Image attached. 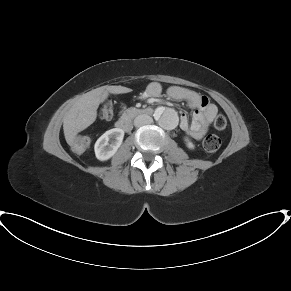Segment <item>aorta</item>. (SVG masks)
<instances>
[{"label":"aorta","mask_w":291,"mask_h":291,"mask_svg":"<svg viewBox=\"0 0 291 291\" xmlns=\"http://www.w3.org/2000/svg\"><path fill=\"white\" fill-rule=\"evenodd\" d=\"M156 118L159 125L166 130H172L178 124L177 115L171 110H164L161 113H157Z\"/></svg>","instance_id":"aorta-1"}]
</instances>
